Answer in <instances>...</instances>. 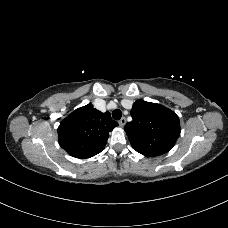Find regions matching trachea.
I'll use <instances>...</instances> for the list:
<instances>
[{"label": "trachea", "instance_id": "obj_1", "mask_svg": "<svg viewBox=\"0 0 228 228\" xmlns=\"http://www.w3.org/2000/svg\"><path fill=\"white\" fill-rule=\"evenodd\" d=\"M112 117L114 120H119L122 117V112L119 109H115L112 112Z\"/></svg>", "mask_w": 228, "mask_h": 228}]
</instances>
